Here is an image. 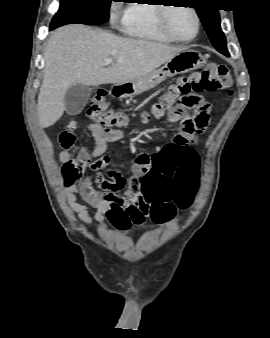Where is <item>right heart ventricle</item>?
<instances>
[{
  "instance_id": "e07e8e85",
  "label": "right heart ventricle",
  "mask_w": 270,
  "mask_h": 338,
  "mask_svg": "<svg viewBox=\"0 0 270 338\" xmlns=\"http://www.w3.org/2000/svg\"><path fill=\"white\" fill-rule=\"evenodd\" d=\"M132 4L126 11V20L122 24L123 31L132 37L154 42H171L159 26L160 5Z\"/></svg>"
}]
</instances>
